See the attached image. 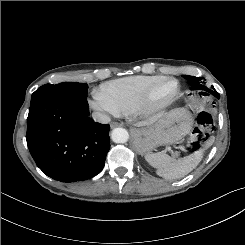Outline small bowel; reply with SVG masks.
<instances>
[{
    "mask_svg": "<svg viewBox=\"0 0 245 245\" xmlns=\"http://www.w3.org/2000/svg\"><path fill=\"white\" fill-rule=\"evenodd\" d=\"M188 107L195 112L204 114L210 113L216 109L217 103L214 98L207 96H194L188 100Z\"/></svg>",
    "mask_w": 245,
    "mask_h": 245,
    "instance_id": "c3829d8e",
    "label": "small bowel"
}]
</instances>
